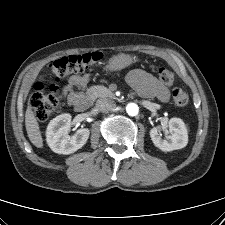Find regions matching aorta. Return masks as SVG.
Returning a JSON list of instances; mask_svg holds the SVG:
<instances>
[{"mask_svg":"<svg viewBox=\"0 0 225 225\" xmlns=\"http://www.w3.org/2000/svg\"><path fill=\"white\" fill-rule=\"evenodd\" d=\"M126 112L129 116H136L139 112V107L135 103H129L126 106Z\"/></svg>","mask_w":225,"mask_h":225,"instance_id":"1","label":"aorta"}]
</instances>
